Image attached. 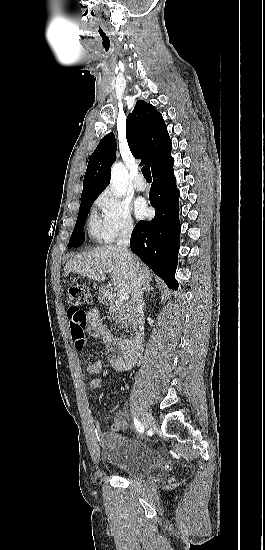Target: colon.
I'll use <instances>...</instances> for the list:
<instances>
[{"label": "colon", "instance_id": "1", "mask_svg": "<svg viewBox=\"0 0 265 550\" xmlns=\"http://www.w3.org/2000/svg\"><path fill=\"white\" fill-rule=\"evenodd\" d=\"M69 310L68 316L70 318V325L72 334L75 339L82 336L83 327L86 322V314L83 307L92 301V294L88 287L84 284H70L67 288ZM117 426H114V430Z\"/></svg>", "mask_w": 265, "mask_h": 550}]
</instances>
